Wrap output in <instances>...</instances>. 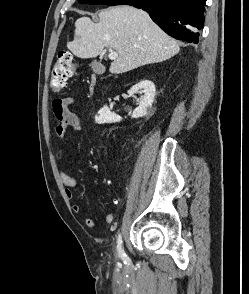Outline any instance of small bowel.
<instances>
[{
  "mask_svg": "<svg viewBox=\"0 0 249 294\" xmlns=\"http://www.w3.org/2000/svg\"><path fill=\"white\" fill-rule=\"evenodd\" d=\"M74 103V98L72 96H67L64 98H59L53 101L52 107L55 118L58 121L56 126V135L61 140L63 139L65 132L67 130H72L74 132H80L82 130V124L80 118L73 112L68 110V107ZM63 156V149L62 147L59 148L57 152V157L61 158ZM60 180L65 187V195L70 200L73 201L74 199V192L73 189L77 186V180L63 170L59 171ZM117 204V201H115ZM72 210L75 213H80L82 208L78 203H72ZM114 221V212L109 211L105 216V222L107 224H111ZM85 224L89 228H97V222L88 217L85 220Z\"/></svg>",
  "mask_w": 249,
  "mask_h": 294,
  "instance_id": "1",
  "label": "small bowel"
}]
</instances>
